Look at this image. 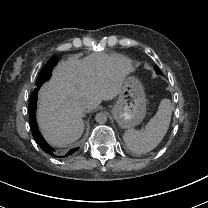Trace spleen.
I'll return each instance as SVG.
<instances>
[{"mask_svg": "<svg viewBox=\"0 0 208 208\" xmlns=\"http://www.w3.org/2000/svg\"><path fill=\"white\" fill-rule=\"evenodd\" d=\"M172 106L168 99L161 101L156 115L147 123L144 131L129 130L123 140L135 153H147L154 149L165 136L171 120Z\"/></svg>", "mask_w": 208, "mask_h": 208, "instance_id": "1", "label": "spleen"}]
</instances>
